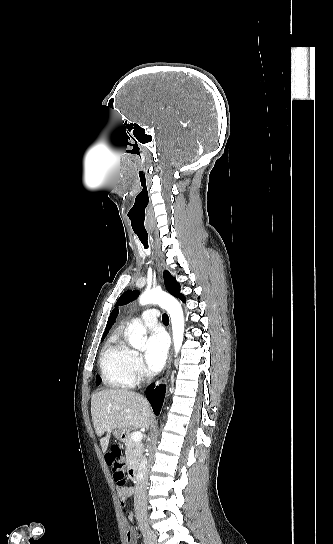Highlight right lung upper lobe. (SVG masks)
Here are the masks:
<instances>
[{
  "instance_id": "right-lung-upper-lobe-1",
  "label": "right lung upper lobe",
  "mask_w": 333,
  "mask_h": 544,
  "mask_svg": "<svg viewBox=\"0 0 333 544\" xmlns=\"http://www.w3.org/2000/svg\"><path fill=\"white\" fill-rule=\"evenodd\" d=\"M117 315H118V307H115L113 309V311L111 312L110 316H109V319H108L107 326L105 328V332L103 334V337H105L108 334V332H109L111 326L113 325Z\"/></svg>"
}]
</instances>
